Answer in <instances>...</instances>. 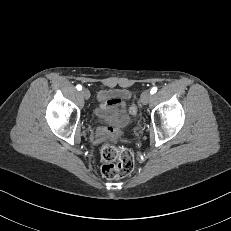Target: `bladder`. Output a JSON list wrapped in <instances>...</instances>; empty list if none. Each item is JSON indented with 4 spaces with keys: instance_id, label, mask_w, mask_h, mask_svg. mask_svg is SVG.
I'll list each match as a JSON object with an SVG mask.
<instances>
[{
    "instance_id": "1",
    "label": "bladder",
    "mask_w": 231,
    "mask_h": 231,
    "mask_svg": "<svg viewBox=\"0 0 231 231\" xmlns=\"http://www.w3.org/2000/svg\"><path fill=\"white\" fill-rule=\"evenodd\" d=\"M130 92L127 89H106L101 90L97 95V107L94 110L95 116L99 118L117 119L121 124L130 122V114L126 107L130 99ZM118 103H123L120 106Z\"/></svg>"
}]
</instances>
